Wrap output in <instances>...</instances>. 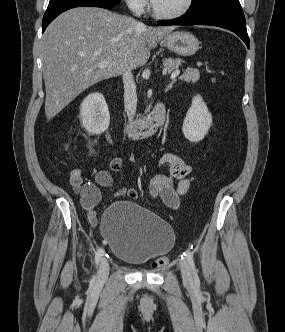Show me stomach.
Instances as JSON below:
<instances>
[{"instance_id": "0dacf381", "label": "stomach", "mask_w": 285, "mask_h": 332, "mask_svg": "<svg viewBox=\"0 0 285 332\" xmlns=\"http://www.w3.org/2000/svg\"><path fill=\"white\" fill-rule=\"evenodd\" d=\"M162 44L180 56H192L199 49L198 39L189 32H174L167 35Z\"/></svg>"}]
</instances>
